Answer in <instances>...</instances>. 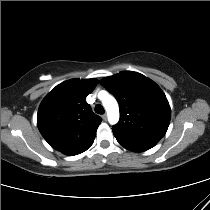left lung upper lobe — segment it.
Listing matches in <instances>:
<instances>
[{
  "mask_svg": "<svg viewBox=\"0 0 210 210\" xmlns=\"http://www.w3.org/2000/svg\"><path fill=\"white\" fill-rule=\"evenodd\" d=\"M119 103L120 120L113 126L117 141L136 152L148 150L166 134L171 109L159 86L144 75L123 71L99 82Z\"/></svg>",
  "mask_w": 210,
  "mask_h": 210,
  "instance_id": "left-lung-upper-lobe-1",
  "label": "left lung upper lobe"
}]
</instances>
